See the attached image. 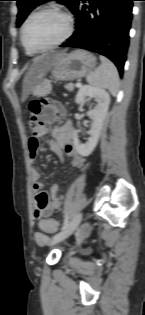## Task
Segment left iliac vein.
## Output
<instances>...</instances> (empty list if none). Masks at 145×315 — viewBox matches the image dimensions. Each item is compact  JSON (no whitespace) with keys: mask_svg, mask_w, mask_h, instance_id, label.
I'll use <instances>...</instances> for the list:
<instances>
[{"mask_svg":"<svg viewBox=\"0 0 145 315\" xmlns=\"http://www.w3.org/2000/svg\"><path fill=\"white\" fill-rule=\"evenodd\" d=\"M81 220L82 213H78L64 230L53 237L51 245H55L69 237L79 227Z\"/></svg>","mask_w":145,"mask_h":315,"instance_id":"left-iliac-vein-1","label":"left iliac vein"}]
</instances>
